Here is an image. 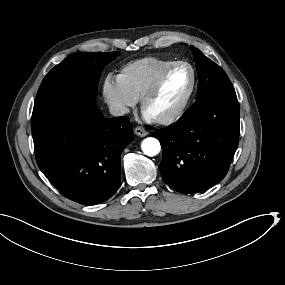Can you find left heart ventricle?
Returning <instances> with one entry per match:
<instances>
[{"label": "left heart ventricle", "instance_id": "left-heart-ventricle-1", "mask_svg": "<svg viewBox=\"0 0 285 285\" xmlns=\"http://www.w3.org/2000/svg\"><path fill=\"white\" fill-rule=\"evenodd\" d=\"M189 84L184 73L173 74L162 89L150 99L144 110L156 118L175 110L182 103Z\"/></svg>", "mask_w": 285, "mask_h": 285}]
</instances>
